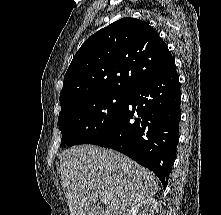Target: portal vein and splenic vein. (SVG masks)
I'll use <instances>...</instances> for the list:
<instances>
[{"instance_id":"1","label":"portal vein and splenic vein","mask_w":221,"mask_h":215,"mask_svg":"<svg viewBox=\"0 0 221 215\" xmlns=\"http://www.w3.org/2000/svg\"><path fill=\"white\" fill-rule=\"evenodd\" d=\"M100 199L102 200V199H103V196H100Z\"/></svg>"}]
</instances>
